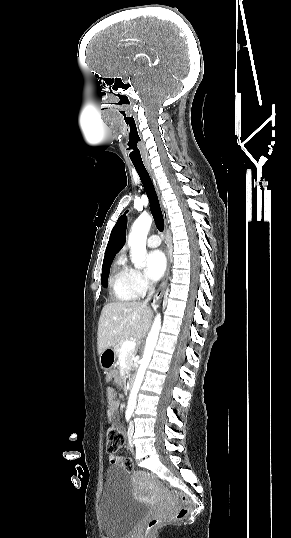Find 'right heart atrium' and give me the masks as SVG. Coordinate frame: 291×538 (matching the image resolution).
I'll list each match as a JSON object with an SVG mask.
<instances>
[{"mask_svg": "<svg viewBox=\"0 0 291 538\" xmlns=\"http://www.w3.org/2000/svg\"><path fill=\"white\" fill-rule=\"evenodd\" d=\"M132 283L138 295H143L149 288L150 283L143 273L135 268H130Z\"/></svg>", "mask_w": 291, "mask_h": 538, "instance_id": "d8ad5b80", "label": "right heart atrium"}]
</instances>
